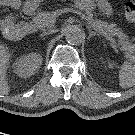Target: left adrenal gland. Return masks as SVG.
Returning <instances> with one entry per match:
<instances>
[{"instance_id": "obj_1", "label": "left adrenal gland", "mask_w": 135, "mask_h": 135, "mask_svg": "<svg viewBox=\"0 0 135 135\" xmlns=\"http://www.w3.org/2000/svg\"><path fill=\"white\" fill-rule=\"evenodd\" d=\"M87 28L89 30L88 40H90V38H92L93 36H96L97 34L96 32L92 31L89 26H87Z\"/></svg>"}]
</instances>
